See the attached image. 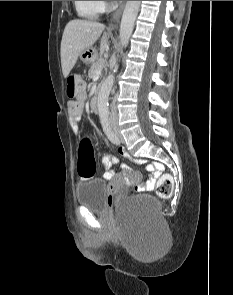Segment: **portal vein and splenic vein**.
I'll return each mask as SVG.
<instances>
[{
  "label": "portal vein and splenic vein",
  "instance_id": "portal-vein-and-splenic-vein-1",
  "mask_svg": "<svg viewBox=\"0 0 233 295\" xmlns=\"http://www.w3.org/2000/svg\"><path fill=\"white\" fill-rule=\"evenodd\" d=\"M102 68H103V66L100 67V68L96 71V76H99V75L101 74V72H102Z\"/></svg>",
  "mask_w": 233,
  "mask_h": 295
}]
</instances>
